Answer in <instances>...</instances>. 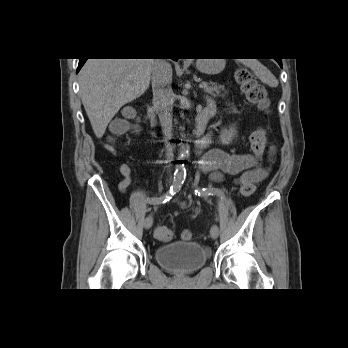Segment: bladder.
<instances>
[{
	"label": "bladder",
	"instance_id": "31cf9c89",
	"mask_svg": "<svg viewBox=\"0 0 348 348\" xmlns=\"http://www.w3.org/2000/svg\"><path fill=\"white\" fill-rule=\"evenodd\" d=\"M155 254L158 263L170 272L188 275L205 264L210 251L198 243L176 241L156 248Z\"/></svg>",
	"mask_w": 348,
	"mask_h": 348
}]
</instances>
